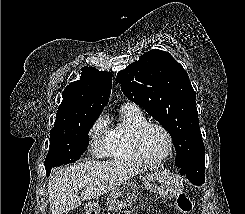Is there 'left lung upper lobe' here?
Here are the masks:
<instances>
[{
    "label": "left lung upper lobe",
    "instance_id": "5c2ea615",
    "mask_svg": "<svg viewBox=\"0 0 245 214\" xmlns=\"http://www.w3.org/2000/svg\"><path fill=\"white\" fill-rule=\"evenodd\" d=\"M116 80L128 99L170 133L179 168L205 160L195 92L187 72L170 53L152 49L118 72Z\"/></svg>",
    "mask_w": 245,
    "mask_h": 214
}]
</instances>
